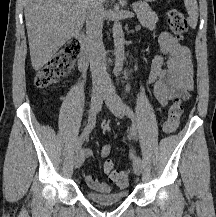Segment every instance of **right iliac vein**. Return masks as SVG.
<instances>
[{
  "instance_id": "63e3f726",
  "label": "right iliac vein",
  "mask_w": 216,
  "mask_h": 217,
  "mask_svg": "<svg viewBox=\"0 0 216 217\" xmlns=\"http://www.w3.org/2000/svg\"><path fill=\"white\" fill-rule=\"evenodd\" d=\"M103 88H95L92 91L91 94V109H94L95 111H98L101 107L102 103V96H103ZM85 160V153L83 149H79L76 152L75 158H74V164L76 168H79L82 166L83 162Z\"/></svg>"
}]
</instances>
